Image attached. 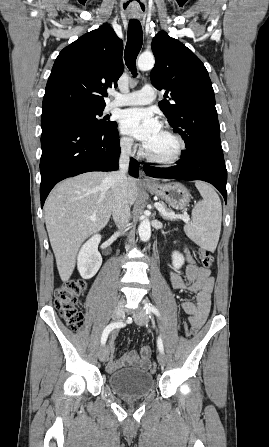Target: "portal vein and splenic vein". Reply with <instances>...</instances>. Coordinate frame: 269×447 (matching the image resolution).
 Instances as JSON below:
<instances>
[{
  "mask_svg": "<svg viewBox=\"0 0 269 447\" xmlns=\"http://www.w3.org/2000/svg\"><path fill=\"white\" fill-rule=\"evenodd\" d=\"M155 208H157L158 212L162 214V216H165V218H169V220H183V222H186V224H189L190 218L189 216H177V214H174V212H167L165 208H163L162 204H159V202H155L154 204ZM91 222H96V220H91Z\"/></svg>",
  "mask_w": 269,
  "mask_h": 447,
  "instance_id": "18ae733b",
  "label": "portal vein and splenic vein"
}]
</instances>
